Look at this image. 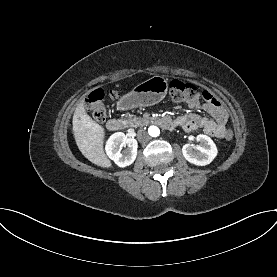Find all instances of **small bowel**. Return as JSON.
Instances as JSON below:
<instances>
[{"label":"small bowel","mask_w":277,"mask_h":277,"mask_svg":"<svg viewBox=\"0 0 277 277\" xmlns=\"http://www.w3.org/2000/svg\"><path fill=\"white\" fill-rule=\"evenodd\" d=\"M201 97L205 101L201 104L197 99L188 103V107L193 110L203 109L211 118L202 117L196 113H185L175 120L168 119L173 127H181L186 131H195L202 129L206 134L224 138L227 127L228 113L219 101V99L211 92L204 90L201 92Z\"/></svg>","instance_id":"c3829d8e"}]
</instances>
